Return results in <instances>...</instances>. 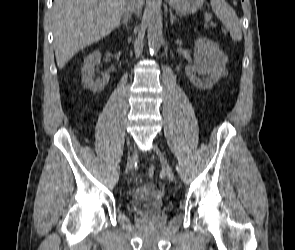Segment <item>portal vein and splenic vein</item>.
<instances>
[{
	"label": "portal vein and splenic vein",
	"instance_id": "obj_1",
	"mask_svg": "<svg viewBox=\"0 0 295 250\" xmlns=\"http://www.w3.org/2000/svg\"><path fill=\"white\" fill-rule=\"evenodd\" d=\"M211 18H212V16H211V15H209V14H206V15H205V20H206V21H210V20H211Z\"/></svg>",
	"mask_w": 295,
	"mask_h": 250
}]
</instances>
